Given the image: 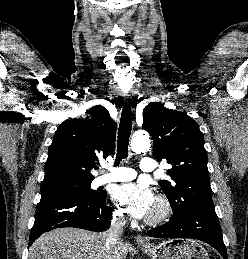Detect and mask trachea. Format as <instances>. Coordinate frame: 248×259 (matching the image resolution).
I'll return each instance as SVG.
<instances>
[{"mask_svg": "<svg viewBox=\"0 0 248 259\" xmlns=\"http://www.w3.org/2000/svg\"><path fill=\"white\" fill-rule=\"evenodd\" d=\"M132 129V111L129 105L123 107L119 125L117 140V157L115 165H118L122 159L128 157L129 138Z\"/></svg>", "mask_w": 248, "mask_h": 259, "instance_id": "3493384b", "label": "trachea"}]
</instances>
